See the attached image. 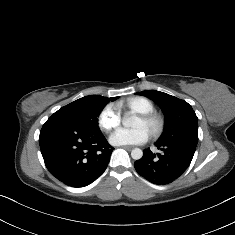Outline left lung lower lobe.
I'll return each mask as SVG.
<instances>
[{
  "label": "left lung lower lobe",
  "instance_id": "1",
  "mask_svg": "<svg viewBox=\"0 0 235 235\" xmlns=\"http://www.w3.org/2000/svg\"><path fill=\"white\" fill-rule=\"evenodd\" d=\"M162 153L143 150V157L134 163L139 175L155 184L170 183L189 167L196 147L182 142L155 144Z\"/></svg>",
  "mask_w": 235,
  "mask_h": 235
}]
</instances>
